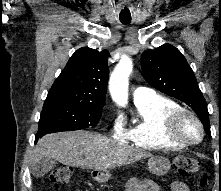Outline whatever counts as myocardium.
Wrapping results in <instances>:
<instances>
[{
	"mask_svg": "<svg viewBox=\"0 0 221 191\" xmlns=\"http://www.w3.org/2000/svg\"><path fill=\"white\" fill-rule=\"evenodd\" d=\"M192 124L197 130L195 137H190L185 126ZM165 133L168 138L175 142H180L186 145H193L201 142L204 137V129L199 118L191 111L179 108L168 114L165 120Z\"/></svg>",
	"mask_w": 221,
	"mask_h": 191,
	"instance_id": "1",
	"label": "myocardium"
}]
</instances>
